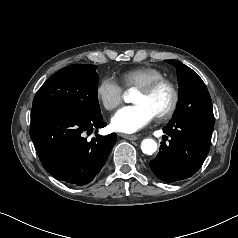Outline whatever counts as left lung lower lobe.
<instances>
[{"label": "left lung lower lobe", "instance_id": "left-lung-lower-lobe-1", "mask_svg": "<svg viewBox=\"0 0 238 238\" xmlns=\"http://www.w3.org/2000/svg\"><path fill=\"white\" fill-rule=\"evenodd\" d=\"M213 128L209 124L169 122L163 128L170 136L169 144L161 142L158 155L149 163L151 170L167 183L191 177L209 152Z\"/></svg>", "mask_w": 238, "mask_h": 238}]
</instances>
